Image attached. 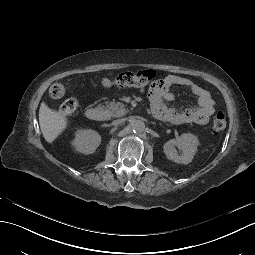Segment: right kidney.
<instances>
[{
    "label": "right kidney",
    "mask_w": 255,
    "mask_h": 255,
    "mask_svg": "<svg viewBox=\"0 0 255 255\" xmlns=\"http://www.w3.org/2000/svg\"><path fill=\"white\" fill-rule=\"evenodd\" d=\"M101 143V136L93 130H78L72 145L77 151L84 154L94 153Z\"/></svg>",
    "instance_id": "1"
}]
</instances>
